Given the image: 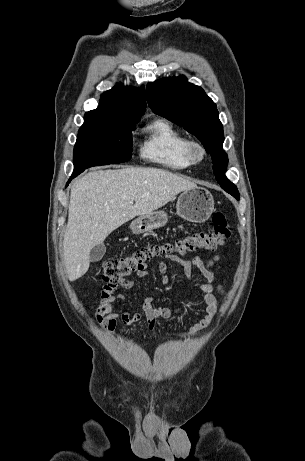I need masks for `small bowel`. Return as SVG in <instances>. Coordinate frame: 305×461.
Wrapping results in <instances>:
<instances>
[{"label":"small bowel","mask_w":305,"mask_h":461,"mask_svg":"<svg viewBox=\"0 0 305 461\" xmlns=\"http://www.w3.org/2000/svg\"><path fill=\"white\" fill-rule=\"evenodd\" d=\"M166 257L171 262L182 268L184 275L189 281V285L199 291L205 303L204 317L195 323L187 333L188 337H192L208 327L213 321L214 315L218 309L217 299L214 295L215 290H217L220 295H225L223 286L220 285L215 287V276L212 271V267L220 260L221 256L215 255L208 261H204L198 256L192 258L191 260L183 259L178 255H170ZM157 270L160 275L161 283L168 286L170 284V277L168 276L167 264L164 262H158ZM195 270L200 272V274L204 277V283L197 285L194 282L193 273ZM136 275L139 278H145L148 275V271L144 267L136 271ZM118 287L124 290H130L134 287V282L132 280L124 279L116 283L106 284L100 292L99 302L96 308V319L102 325L103 329L109 334H113L119 320L125 325H133L139 323L144 317L147 321L148 329L152 331L159 326V319H168L173 315L180 314L182 312L181 308L171 309L166 306L155 307L153 305L152 297L146 296L141 302L140 312H124L122 314H118L114 310V303L123 298L122 295L115 293Z\"/></svg>","instance_id":"1"}]
</instances>
